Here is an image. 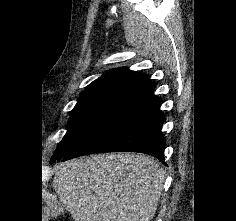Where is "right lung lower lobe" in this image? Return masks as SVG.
Masks as SVG:
<instances>
[{
  "label": "right lung lower lobe",
  "mask_w": 236,
  "mask_h": 221,
  "mask_svg": "<svg viewBox=\"0 0 236 221\" xmlns=\"http://www.w3.org/2000/svg\"><path fill=\"white\" fill-rule=\"evenodd\" d=\"M154 88L155 84L136 94L62 157L63 161L91 153L127 151L150 154L165 163L161 133L165 116L160 111L161 100L153 96Z\"/></svg>",
  "instance_id": "right-lung-lower-lobe-1"
}]
</instances>
